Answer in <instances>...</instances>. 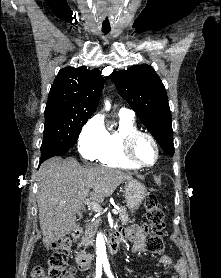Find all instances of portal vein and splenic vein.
<instances>
[{
	"label": "portal vein and splenic vein",
	"instance_id": "portal-vein-and-splenic-vein-1",
	"mask_svg": "<svg viewBox=\"0 0 221 278\" xmlns=\"http://www.w3.org/2000/svg\"><path fill=\"white\" fill-rule=\"evenodd\" d=\"M84 203H85V205H90V207L96 212V213H101V210H102V208H101V206L98 204V203H96V202H91L89 199H86L85 201H84ZM113 214H115V215H117L119 212L116 210V209H112V211H111Z\"/></svg>",
	"mask_w": 221,
	"mask_h": 278
}]
</instances>
